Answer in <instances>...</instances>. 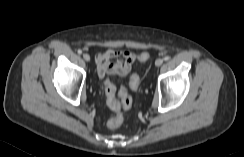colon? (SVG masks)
Segmentation results:
<instances>
[{"label": "colon", "instance_id": "obj_1", "mask_svg": "<svg viewBox=\"0 0 244 157\" xmlns=\"http://www.w3.org/2000/svg\"><path fill=\"white\" fill-rule=\"evenodd\" d=\"M150 58V54L148 52H142L138 56V60L140 62H145ZM130 85L133 89H137L139 85V76L134 74L131 76ZM104 90L106 95V100L108 106L115 111H119L121 108H129L131 106L132 100L124 86L119 88V96L116 97V87L112 83V81L107 78L104 81ZM124 117L121 113H117L113 117H111L107 125L109 128H118L123 123Z\"/></svg>", "mask_w": 244, "mask_h": 157}]
</instances>
